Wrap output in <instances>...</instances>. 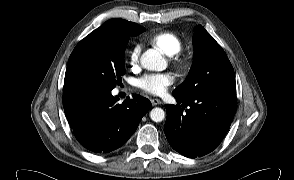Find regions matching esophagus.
Instances as JSON below:
<instances>
[{
  "mask_svg": "<svg viewBox=\"0 0 294 180\" xmlns=\"http://www.w3.org/2000/svg\"><path fill=\"white\" fill-rule=\"evenodd\" d=\"M151 103L153 106H156V105H160L162 102L161 100L154 98V99H151Z\"/></svg>",
  "mask_w": 294,
  "mask_h": 180,
  "instance_id": "34e87169",
  "label": "esophagus"
}]
</instances>
